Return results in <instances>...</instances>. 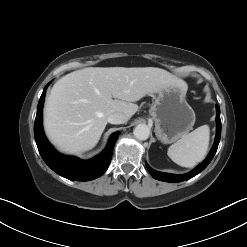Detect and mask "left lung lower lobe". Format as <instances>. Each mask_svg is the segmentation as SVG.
<instances>
[{"mask_svg":"<svg viewBox=\"0 0 247 247\" xmlns=\"http://www.w3.org/2000/svg\"><path fill=\"white\" fill-rule=\"evenodd\" d=\"M216 110H217V116H216L217 133H216L215 142H214V145L208 157L202 162V164L197 166L193 171L187 174H183V175H174V174H169V173L158 172V171L153 170L146 164L148 171L155 179L160 180V181H165V182H171V183L182 182V181L188 180L196 176L208 166V164L211 162V160L213 159L217 151L219 141H220V136H221L220 108L218 105H216Z\"/></svg>","mask_w":247,"mask_h":247,"instance_id":"1","label":"left lung lower lobe"}]
</instances>
